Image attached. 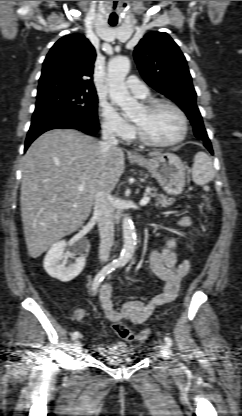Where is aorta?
<instances>
[{"label": "aorta", "mask_w": 242, "mask_h": 416, "mask_svg": "<svg viewBox=\"0 0 242 416\" xmlns=\"http://www.w3.org/2000/svg\"><path fill=\"white\" fill-rule=\"evenodd\" d=\"M130 70V60L127 57H117L108 64V83L111 101L116 103L126 114H131L137 106L127 87L125 78ZM123 249L116 259V264L126 265L132 258L136 248V233L132 220L125 216L122 221Z\"/></svg>", "instance_id": "762f6f07"}]
</instances>
